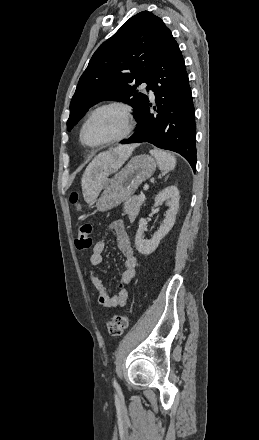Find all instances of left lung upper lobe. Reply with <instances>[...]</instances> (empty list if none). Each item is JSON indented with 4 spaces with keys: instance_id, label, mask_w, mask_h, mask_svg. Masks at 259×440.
Listing matches in <instances>:
<instances>
[{
    "instance_id": "5c2ea615",
    "label": "left lung upper lobe",
    "mask_w": 259,
    "mask_h": 440,
    "mask_svg": "<svg viewBox=\"0 0 259 440\" xmlns=\"http://www.w3.org/2000/svg\"><path fill=\"white\" fill-rule=\"evenodd\" d=\"M169 34L163 21L148 11L127 20L95 51L80 77L70 103L67 129L70 130L87 109L103 100L131 105L137 119L149 100L136 87L143 82L149 83Z\"/></svg>"
}]
</instances>
